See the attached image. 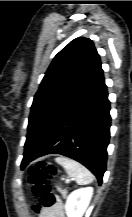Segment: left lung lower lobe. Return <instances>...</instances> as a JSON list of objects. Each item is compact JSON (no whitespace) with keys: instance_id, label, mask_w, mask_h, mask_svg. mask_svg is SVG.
Here are the masks:
<instances>
[{"instance_id":"1","label":"left lung lower lobe","mask_w":132,"mask_h":217,"mask_svg":"<svg viewBox=\"0 0 132 217\" xmlns=\"http://www.w3.org/2000/svg\"><path fill=\"white\" fill-rule=\"evenodd\" d=\"M110 104L102 68L85 90L46 131L41 141L24 154L22 169L47 154H61L86 166L102 183L110 138Z\"/></svg>"}]
</instances>
